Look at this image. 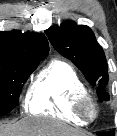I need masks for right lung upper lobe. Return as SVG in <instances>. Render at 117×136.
Wrapping results in <instances>:
<instances>
[{"label": "right lung upper lobe", "instance_id": "cb5924a9", "mask_svg": "<svg viewBox=\"0 0 117 136\" xmlns=\"http://www.w3.org/2000/svg\"><path fill=\"white\" fill-rule=\"evenodd\" d=\"M49 52L44 34L19 31L0 32V60L32 61L45 58Z\"/></svg>", "mask_w": 117, "mask_h": 136}]
</instances>
